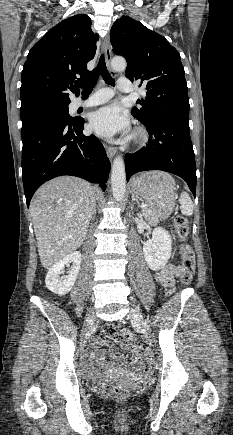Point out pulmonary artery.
Returning <instances> with one entry per match:
<instances>
[{
	"instance_id": "1",
	"label": "pulmonary artery",
	"mask_w": 233,
	"mask_h": 435,
	"mask_svg": "<svg viewBox=\"0 0 233 435\" xmlns=\"http://www.w3.org/2000/svg\"><path fill=\"white\" fill-rule=\"evenodd\" d=\"M118 90L122 93H129L132 91L131 80L127 78H120L118 80ZM112 97V93L108 89H100L92 94L87 99L76 98L73 103L74 108L91 107L107 102Z\"/></svg>"
}]
</instances>
